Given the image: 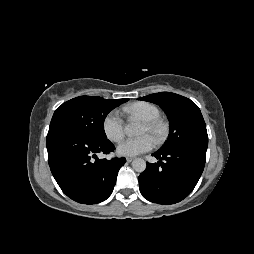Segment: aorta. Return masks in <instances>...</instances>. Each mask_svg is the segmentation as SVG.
I'll use <instances>...</instances> for the list:
<instances>
[{
	"instance_id": "obj_1",
	"label": "aorta",
	"mask_w": 254,
	"mask_h": 254,
	"mask_svg": "<svg viewBox=\"0 0 254 254\" xmlns=\"http://www.w3.org/2000/svg\"><path fill=\"white\" fill-rule=\"evenodd\" d=\"M139 132V126L137 123L135 122H130L125 126V133L128 136H134L137 135ZM132 168L136 171V172H143L146 169V162L141 159V158H137L135 160H133L132 162Z\"/></svg>"
}]
</instances>
